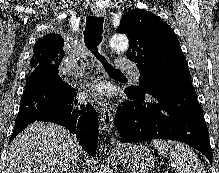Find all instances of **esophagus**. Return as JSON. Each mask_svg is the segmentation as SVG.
Listing matches in <instances>:
<instances>
[{"instance_id":"obj_1","label":"esophagus","mask_w":219,"mask_h":173,"mask_svg":"<svg viewBox=\"0 0 219 173\" xmlns=\"http://www.w3.org/2000/svg\"><path fill=\"white\" fill-rule=\"evenodd\" d=\"M96 16L106 18V11L102 8H96L93 10ZM99 113H100V127L103 131L107 133L112 132L113 128V112L112 108L108 105L106 101L98 102Z\"/></svg>"}]
</instances>
